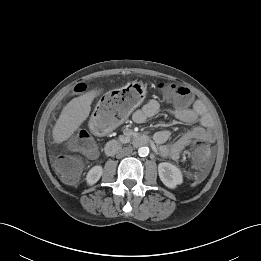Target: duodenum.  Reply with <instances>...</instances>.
Here are the masks:
<instances>
[{"label": "duodenum", "mask_w": 261, "mask_h": 261, "mask_svg": "<svg viewBox=\"0 0 261 261\" xmlns=\"http://www.w3.org/2000/svg\"><path fill=\"white\" fill-rule=\"evenodd\" d=\"M150 141L149 137L145 134H138L132 139L135 146H144ZM121 148V144L117 140H110L106 143L104 152L106 155H114Z\"/></svg>", "instance_id": "obj_1"}]
</instances>
